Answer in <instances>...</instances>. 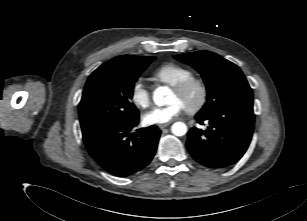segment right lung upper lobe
Listing matches in <instances>:
<instances>
[{
    "label": "right lung upper lobe",
    "mask_w": 307,
    "mask_h": 221,
    "mask_svg": "<svg viewBox=\"0 0 307 221\" xmlns=\"http://www.w3.org/2000/svg\"><path fill=\"white\" fill-rule=\"evenodd\" d=\"M145 57H147V56H142V57L130 56V55L118 56V57H115L112 60L104 63L97 70L107 68V67H117V66L137 63L139 61H142Z\"/></svg>",
    "instance_id": "cb5924a9"
}]
</instances>
